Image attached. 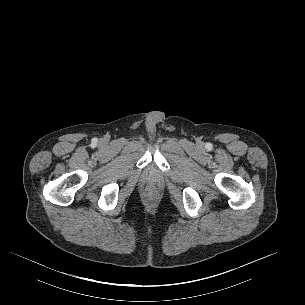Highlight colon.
<instances>
[{
    "instance_id": "obj_1",
    "label": "colon",
    "mask_w": 305,
    "mask_h": 305,
    "mask_svg": "<svg viewBox=\"0 0 305 305\" xmlns=\"http://www.w3.org/2000/svg\"><path fill=\"white\" fill-rule=\"evenodd\" d=\"M149 196H150V197H151V196H153V193H152V192H150V193H149Z\"/></svg>"
}]
</instances>
